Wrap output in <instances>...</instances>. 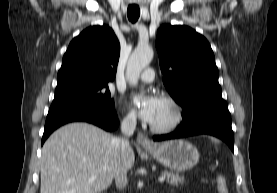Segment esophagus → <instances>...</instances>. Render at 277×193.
Segmentation results:
<instances>
[{
    "mask_svg": "<svg viewBox=\"0 0 277 193\" xmlns=\"http://www.w3.org/2000/svg\"><path fill=\"white\" fill-rule=\"evenodd\" d=\"M137 142L139 145H141L143 147H153L154 146V144L150 141V139L143 133H138Z\"/></svg>",
    "mask_w": 277,
    "mask_h": 193,
    "instance_id": "esophagus-1",
    "label": "esophagus"
}]
</instances>
